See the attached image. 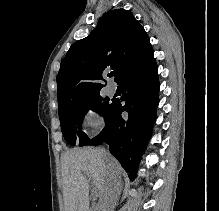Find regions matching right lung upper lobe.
I'll return each instance as SVG.
<instances>
[{
	"instance_id": "right-lung-upper-lobe-1",
	"label": "right lung upper lobe",
	"mask_w": 219,
	"mask_h": 211,
	"mask_svg": "<svg viewBox=\"0 0 219 211\" xmlns=\"http://www.w3.org/2000/svg\"><path fill=\"white\" fill-rule=\"evenodd\" d=\"M152 58L149 37L132 13L111 10L89 36L71 45L62 60L56 78L58 104L100 94L107 71L114 70L119 83Z\"/></svg>"
}]
</instances>
